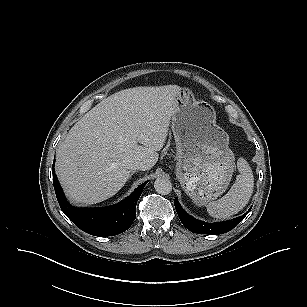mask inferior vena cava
I'll return each instance as SVG.
<instances>
[{
    "label": "inferior vena cava",
    "mask_w": 307,
    "mask_h": 307,
    "mask_svg": "<svg viewBox=\"0 0 307 307\" xmlns=\"http://www.w3.org/2000/svg\"><path fill=\"white\" fill-rule=\"evenodd\" d=\"M127 169L129 170H144L145 165L143 162L140 161H130L127 163Z\"/></svg>",
    "instance_id": "602c4592"
}]
</instances>
